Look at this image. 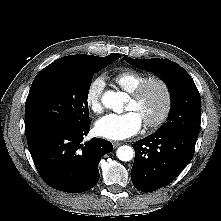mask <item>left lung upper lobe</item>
<instances>
[{"label": "left lung upper lobe", "mask_w": 221, "mask_h": 221, "mask_svg": "<svg viewBox=\"0 0 221 221\" xmlns=\"http://www.w3.org/2000/svg\"><path fill=\"white\" fill-rule=\"evenodd\" d=\"M123 59L130 64L152 71L167 82L171 93L168 121L157 132L188 131L198 133L201 122V98L190 75L177 63L167 59Z\"/></svg>", "instance_id": "1"}]
</instances>
